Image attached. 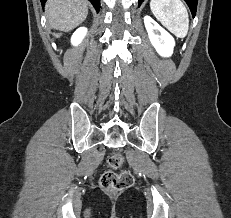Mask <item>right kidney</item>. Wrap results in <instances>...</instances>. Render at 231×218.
Returning <instances> with one entry per match:
<instances>
[{"label":"right kidney","mask_w":231,"mask_h":218,"mask_svg":"<svg viewBox=\"0 0 231 218\" xmlns=\"http://www.w3.org/2000/svg\"><path fill=\"white\" fill-rule=\"evenodd\" d=\"M87 33V28L85 27H80L78 28L72 35L71 37V43L74 45V46H77L79 45L82 40L84 39L85 35Z\"/></svg>","instance_id":"ca27d5eb"}]
</instances>
